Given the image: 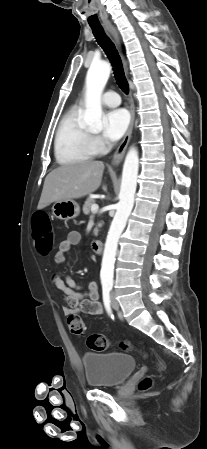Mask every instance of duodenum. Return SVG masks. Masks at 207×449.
Here are the masks:
<instances>
[{"label": "duodenum", "mask_w": 207, "mask_h": 449, "mask_svg": "<svg viewBox=\"0 0 207 449\" xmlns=\"http://www.w3.org/2000/svg\"><path fill=\"white\" fill-rule=\"evenodd\" d=\"M91 247L94 253L100 254L103 251V241L101 239H94L91 242Z\"/></svg>", "instance_id": "1"}]
</instances>
